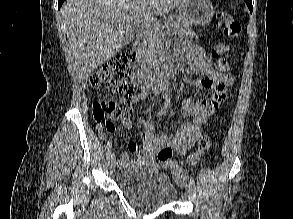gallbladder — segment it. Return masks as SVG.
I'll list each match as a JSON object with an SVG mask.
<instances>
[{
    "instance_id": "obj_1",
    "label": "gallbladder",
    "mask_w": 293,
    "mask_h": 219,
    "mask_svg": "<svg viewBox=\"0 0 293 219\" xmlns=\"http://www.w3.org/2000/svg\"><path fill=\"white\" fill-rule=\"evenodd\" d=\"M133 38H134L133 34H131V33L128 34V35H127L128 43L131 42V41L133 40ZM128 43H127V44H128ZM127 44H126V45H127Z\"/></svg>"
}]
</instances>
